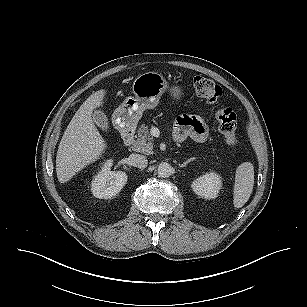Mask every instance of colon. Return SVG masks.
Returning a JSON list of instances; mask_svg holds the SVG:
<instances>
[{
	"mask_svg": "<svg viewBox=\"0 0 307 307\" xmlns=\"http://www.w3.org/2000/svg\"><path fill=\"white\" fill-rule=\"evenodd\" d=\"M195 94L215 106V116L218 129L224 136L228 146L235 148L240 145V138L236 133V115L233 110L220 103L222 89L214 81L206 77L197 76L192 79Z\"/></svg>",
	"mask_w": 307,
	"mask_h": 307,
	"instance_id": "5ec220e1",
	"label": "colon"
}]
</instances>
